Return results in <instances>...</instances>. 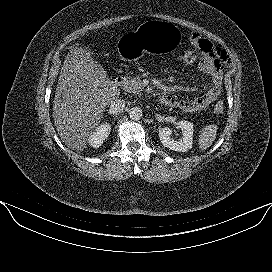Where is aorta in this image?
<instances>
[{
    "label": "aorta",
    "mask_w": 272,
    "mask_h": 272,
    "mask_svg": "<svg viewBox=\"0 0 272 272\" xmlns=\"http://www.w3.org/2000/svg\"><path fill=\"white\" fill-rule=\"evenodd\" d=\"M142 110L140 107L134 106L129 111V116L131 120L138 121L142 118Z\"/></svg>",
    "instance_id": "aorta-1"
}]
</instances>
